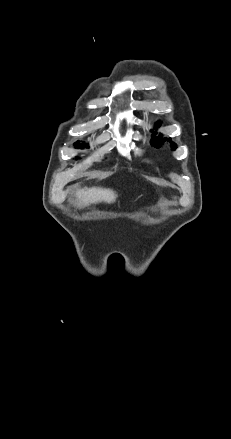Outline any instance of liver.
I'll list each match as a JSON object with an SVG mask.
<instances>
[{
	"label": "liver",
	"instance_id": "1",
	"mask_svg": "<svg viewBox=\"0 0 231 439\" xmlns=\"http://www.w3.org/2000/svg\"><path fill=\"white\" fill-rule=\"evenodd\" d=\"M75 197L77 201L81 202L84 206H88L89 204L100 202L113 203L117 195L111 189L92 187L76 191Z\"/></svg>",
	"mask_w": 231,
	"mask_h": 439
}]
</instances>
